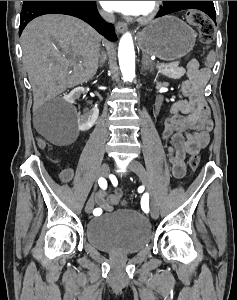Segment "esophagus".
Here are the masks:
<instances>
[{"label": "esophagus", "mask_w": 237, "mask_h": 300, "mask_svg": "<svg viewBox=\"0 0 237 300\" xmlns=\"http://www.w3.org/2000/svg\"><path fill=\"white\" fill-rule=\"evenodd\" d=\"M115 28L118 33H122L127 29V24L123 22H119L116 24Z\"/></svg>", "instance_id": "1"}]
</instances>
